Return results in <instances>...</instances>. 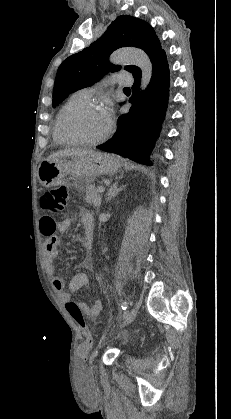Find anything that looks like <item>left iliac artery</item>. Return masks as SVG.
<instances>
[{
	"instance_id": "obj_1",
	"label": "left iliac artery",
	"mask_w": 231,
	"mask_h": 419,
	"mask_svg": "<svg viewBox=\"0 0 231 419\" xmlns=\"http://www.w3.org/2000/svg\"><path fill=\"white\" fill-rule=\"evenodd\" d=\"M121 308L125 311L128 308V303L126 301H122Z\"/></svg>"
}]
</instances>
